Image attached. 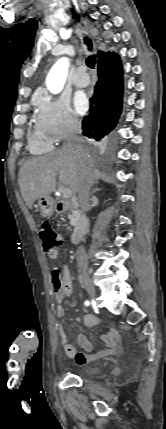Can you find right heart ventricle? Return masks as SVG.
I'll use <instances>...</instances> for the list:
<instances>
[{"label":"right heart ventricle","instance_id":"e07e8e85","mask_svg":"<svg viewBox=\"0 0 166 429\" xmlns=\"http://www.w3.org/2000/svg\"><path fill=\"white\" fill-rule=\"evenodd\" d=\"M29 148L34 154L48 152L53 148V142L36 126L29 135Z\"/></svg>","mask_w":166,"mask_h":429}]
</instances>
